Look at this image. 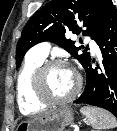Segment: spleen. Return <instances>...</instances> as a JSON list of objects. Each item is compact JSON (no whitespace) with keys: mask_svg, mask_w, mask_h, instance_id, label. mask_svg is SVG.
I'll return each mask as SVG.
<instances>
[{"mask_svg":"<svg viewBox=\"0 0 117 131\" xmlns=\"http://www.w3.org/2000/svg\"><path fill=\"white\" fill-rule=\"evenodd\" d=\"M87 118V124L97 131L112 129L117 127L116 118L108 111L91 106H85L80 110Z\"/></svg>","mask_w":117,"mask_h":131,"instance_id":"obj_1","label":"spleen"}]
</instances>
